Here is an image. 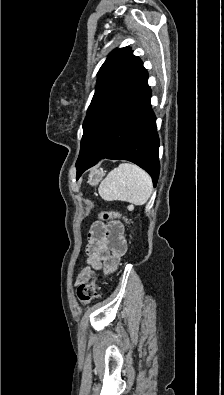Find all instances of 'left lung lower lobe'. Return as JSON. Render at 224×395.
Segmentation results:
<instances>
[{
  "instance_id": "left-lung-lower-lobe-1",
  "label": "left lung lower lobe",
  "mask_w": 224,
  "mask_h": 395,
  "mask_svg": "<svg viewBox=\"0 0 224 395\" xmlns=\"http://www.w3.org/2000/svg\"><path fill=\"white\" fill-rule=\"evenodd\" d=\"M145 68L97 115L76 162L77 179L101 159L129 160L145 169L154 186L160 171L156 117Z\"/></svg>"
}]
</instances>
